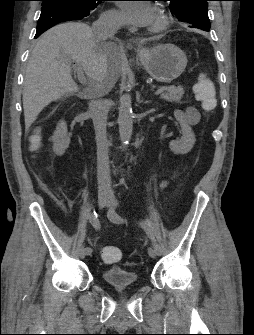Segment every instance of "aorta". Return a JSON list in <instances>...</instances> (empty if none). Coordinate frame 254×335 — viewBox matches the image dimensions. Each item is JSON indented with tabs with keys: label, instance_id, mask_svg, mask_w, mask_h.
<instances>
[{
	"label": "aorta",
	"instance_id": "obj_1",
	"mask_svg": "<svg viewBox=\"0 0 254 335\" xmlns=\"http://www.w3.org/2000/svg\"><path fill=\"white\" fill-rule=\"evenodd\" d=\"M119 102V135L122 147L126 148L129 144L133 131V111L131 95L129 93L121 94Z\"/></svg>",
	"mask_w": 254,
	"mask_h": 335
}]
</instances>
